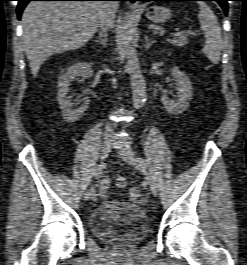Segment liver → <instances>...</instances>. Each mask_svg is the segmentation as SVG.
I'll list each match as a JSON object with an SVG mask.
<instances>
[{"label": "liver", "mask_w": 247, "mask_h": 265, "mask_svg": "<svg viewBox=\"0 0 247 265\" xmlns=\"http://www.w3.org/2000/svg\"><path fill=\"white\" fill-rule=\"evenodd\" d=\"M102 9V2H30L21 22L32 75L36 77L41 65L52 55L84 46L97 31ZM114 17L110 28L114 26Z\"/></svg>", "instance_id": "obj_1"}]
</instances>
